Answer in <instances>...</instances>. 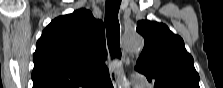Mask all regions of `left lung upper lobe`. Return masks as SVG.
<instances>
[{"label": "left lung upper lobe", "mask_w": 223, "mask_h": 88, "mask_svg": "<svg viewBox=\"0 0 223 88\" xmlns=\"http://www.w3.org/2000/svg\"><path fill=\"white\" fill-rule=\"evenodd\" d=\"M136 30L145 44L135 70L154 88H200L194 60L180 36L165 24L148 20L139 21Z\"/></svg>", "instance_id": "obj_1"}]
</instances>
